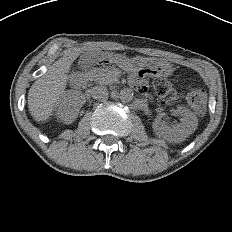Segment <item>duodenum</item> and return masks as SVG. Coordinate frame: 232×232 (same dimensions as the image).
<instances>
[{"mask_svg": "<svg viewBox=\"0 0 232 232\" xmlns=\"http://www.w3.org/2000/svg\"><path fill=\"white\" fill-rule=\"evenodd\" d=\"M86 80H87L86 76H83V75L78 76L74 81L75 87L76 88L82 87L86 83Z\"/></svg>", "mask_w": 232, "mask_h": 232, "instance_id": "410a0bca", "label": "duodenum"}]
</instances>
